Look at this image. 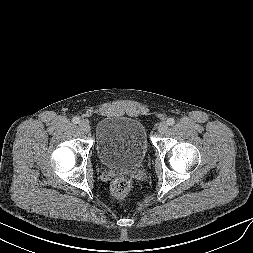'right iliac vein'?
<instances>
[{
  "instance_id": "63e3f726",
  "label": "right iliac vein",
  "mask_w": 253,
  "mask_h": 253,
  "mask_svg": "<svg viewBox=\"0 0 253 253\" xmlns=\"http://www.w3.org/2000/svg\"><path fill=\"white\" fill-rule=\"evenodd\" d=\"M79 129L84 133H88L90 131V124L85 120H81L79 122Z\"/></svg>"
}]
</instances>
